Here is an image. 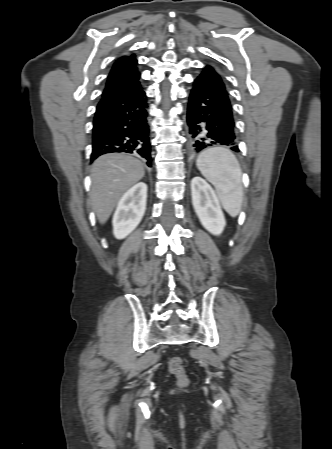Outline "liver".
I'll return each mask as SVG.
<instances>
[{
	"instance_id": "liver-1",
	"label": "liver",
	"mask_w": 332,
	"mask_h": 449,
	"mask_svg": "<svg viewBox=\"0 0 332 449\" xmlns=\"http://www.w3.org/2000/svg\"><path fill=\"white\" fill-rule=\"evenodd\" d=\"M141 161L126 154L110 153L96 159L91 168L90 204L104 224L123 194L144 177Z\"/></svg>"
}]
</instances>
